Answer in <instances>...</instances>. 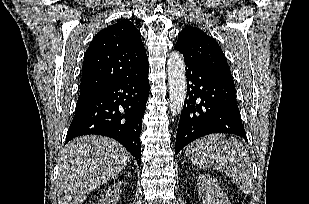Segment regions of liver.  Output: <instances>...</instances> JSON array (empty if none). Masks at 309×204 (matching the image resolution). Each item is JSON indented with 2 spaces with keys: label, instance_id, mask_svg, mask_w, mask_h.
<instances>
[{
  "label": "liver",
  "instance_id": "6515ba94",
  "mask_svg": "<svg viewBox=\"0 0 309 204\" xmlns=\"http://www.w3.org/2000/svg\"><path fill=\"white\" fill-rule=\"evenodd\" d=\"M129 163V152L113 139L97 135L73 139L60 153L58 204H83L93 190Z\"/></svg>",
  "mask_w": 309,
  "mask_h": 204
}]
</instances>
